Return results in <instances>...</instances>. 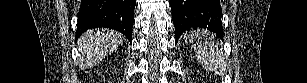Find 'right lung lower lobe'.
<instances>
[{"label": "right lung lower lobe", "instance_id": "98d812e1", "mask_svg": "<svg viewBox=\"0 0 307 83\" xmlns=\"http://www.w3.org/2000/svg\"><path fill=\"white\" fill-rule=\"evenodd\" d=\"M136 0H81L76 38L93 28L114 29L131 42Z\"/></svg>", "mask_w": 307, "mask_h": 83}]
</instances>
